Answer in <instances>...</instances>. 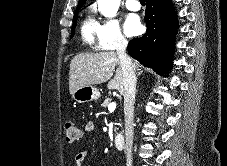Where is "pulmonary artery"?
Segmentation results:
<instances>
[{
	"label": "pulmonary artery",
	"instance_id": "obj_1",
	"mask_svg": "<svg viewBox=\"0 0 227 166\" xmlns=\"http://www.w3.org/2000/svg\"><path fill=\"white\" fill-rule=\"evenodd\" d=\"M139 2V0H126V7L130 11H138L141 7Z\"/></svg>",
	"mask_w": 227,
	"mask_h": 166
}]
</instances>
